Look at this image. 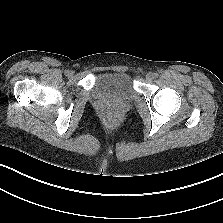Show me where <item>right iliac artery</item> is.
Returning <instances> with one entry per match:
<instances>
[{
	"label": "right iliac artery",
	"mask_w": 223,
	"mask_h": 223,
	"mask_svg": "<svg viewBox=\"0 0 223 223\" xmlns=\"http://www.w3.org/2000/svg\"><path fill=\"white\" fill-rule=\"evenodd\" d=\"M68 73H69V71L68 70H65V74L68 75Z\"/></svg>",
	"instance_id": "1"
}]
</instances>
